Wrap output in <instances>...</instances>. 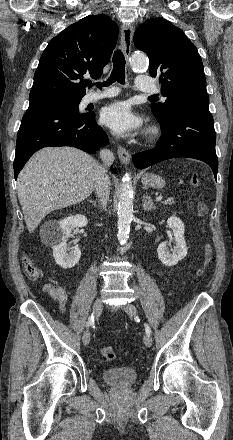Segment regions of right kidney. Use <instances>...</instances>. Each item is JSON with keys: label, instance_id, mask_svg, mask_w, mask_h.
Listing matches in <instances>:
<instances>
[{"label": "right kidney", "instance_id": "right-kidney-1", "mask_svg": "<svg viewBox=\"0 0 233 440\" xmlns=\"http://www.w3.org/2000/svg\"><path fill=\"white\" fill-rule=\"evenodd\" d=\"M88 223L84 215L66 217L60 221H48L42 229L41 238L44 244L53 249L56 263L63 269L74 267L81 257V250L68 247L67 241L76 227H84Z\"/></svg>", "mask_w": 233, "mask_h": 440}]
</instances>
